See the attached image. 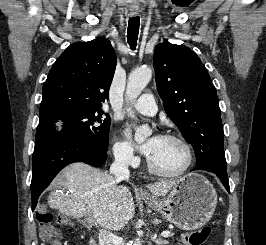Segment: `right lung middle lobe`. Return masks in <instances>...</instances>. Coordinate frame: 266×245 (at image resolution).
<instances>
[{"mask_svg":"<svg viewBox=\"0 0 266 245\" xmlns=\"http://www.w3.org/2000/svg\"><path fill=\"white\" fill-rule=\"evenodd\" d=\"M97 107L69 110L41 120L36 131V142L56 134L79 138L94 147L107 151L110 117Z\"/></svg>","mask_w":266,"mask_h":245,"instance_id":"right-lung-middle-lobe-1","label":"right lung middle lobe"}]
</instances>
